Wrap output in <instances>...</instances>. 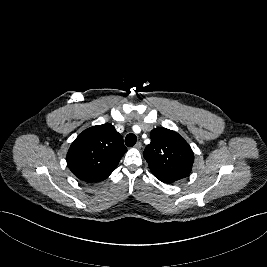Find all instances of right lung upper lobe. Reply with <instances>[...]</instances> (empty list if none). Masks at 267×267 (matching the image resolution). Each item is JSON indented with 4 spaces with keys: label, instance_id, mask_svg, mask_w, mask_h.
Masks as SVG:
<instances>
[{
    "label": "right lung upper lobe",
    "instance_id": "1",
    "mask_svg": "<svg viewBox=\"0 0 267 267\" xmlns=\"http://www.w3.org/2000/svg\"><path fill=\"white\" fill-rule=\"evenodd\" d=\"M126 151L122 136L106 123L79 134L68 150L67 164L80 180L100 182L115 170Z\"/></svg>",
    "mask_w": 267,
    "mask_h": 267
}]
</instances>
